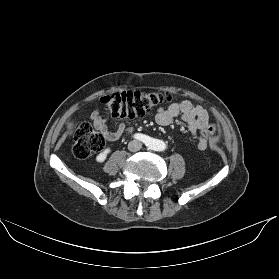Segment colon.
I'll return each instance as SVG.
<instances>
[{
	"mask_svg": "<svg viewBox=\"0 0 279 279\" xmlns=\"http://www.w3.org/2000/svg\"><path fill=\"white\" fill-rule=\"evenodd\" d=\"M171 95L166 92L121 91L102 97L104 107L117 118L134 119L142 117L154 107L169 102ZM216 132V126L210 125L204 135L208 139ZM73 154L85 159L104 147V138L89 122L80 123L74 133Z\"/></svg>",
	"mask_w": 279,
	"mask_h": 279,
	"instance_id": "colon-1",
	"label": "colon"
}]
</instances>
